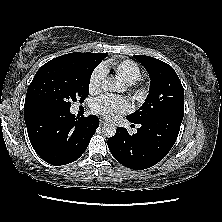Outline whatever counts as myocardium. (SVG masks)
I'll use <instances>...</instances> for the list:
<instances>
[{"label": "myocardium", "instance_id": "myocardium-1", "mask_svg": "<svg viewBox=\"0 0 222 222\" xmlns=\"http://www.w3.org/2000/svg\"><path fill=\"white\" fill-rule=\"evenodd\" d=\"M134 84V83H133ZM132 84V85H133ZM132 85H130V86H132ZM135 85V84H134ZM133 91H134V95L135 96H143L144 94H145V92H146V89H145V87H144V85L143 84H138V85H136L134 88H133Z\"/></svg>", "mask_w": 222, "mask_h": 222}]
</instances>
